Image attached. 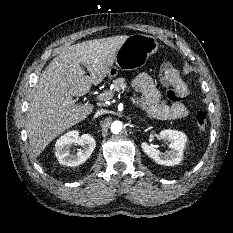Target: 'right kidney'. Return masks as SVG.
<instances>
[{
  "mask_svg": "<svg viewBox=\"0 0 233 233\" xmlns=\"http://www.w3.org/2000/svg\"><path fill=\"white\" fill-rule=\"evenodd\" d=\"M80 145L82 148L77 153H70L71 145ZM96 147V141L90 134L79 136L76 130L69 131L61 136L55 144V155L60 164L66 166H78L84 163Z\"/></svg>",
  "mask_w": 233,
  "mask_h": 233,
  "instance_id": "1",
  "label": "right kidney"
}]
</instances>
